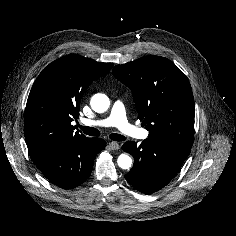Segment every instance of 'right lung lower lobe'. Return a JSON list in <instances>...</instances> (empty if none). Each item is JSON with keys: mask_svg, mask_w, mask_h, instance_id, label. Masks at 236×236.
<instances>
[{"mask_svg": "<svg viewBox=\"0 0 236 236\" xmlns=\"http://www.w3.org/2000/svg\"><path fill=\"white\" fill-rule=\"evenodd\" d=\"M105 146V140L89 138L67 144L33 161L51 183L71 189L90 176L94 159Z\"/></svg>", "mask_w": 236, "mask_h": 236, "instance_id": "98d812e1", "label": "right lung lower lobe"}]
</instances>
